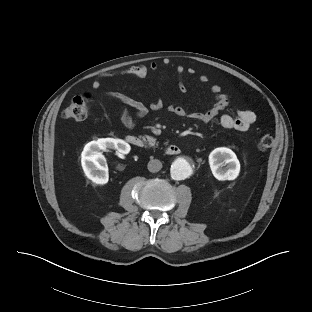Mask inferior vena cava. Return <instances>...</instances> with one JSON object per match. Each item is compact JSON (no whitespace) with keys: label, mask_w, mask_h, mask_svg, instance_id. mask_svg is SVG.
Segmentation results:
<instances>
[{"label":"inferior vena cava","mask_w":312,"mask_h":312,"mask_svg":"<svg viewBox=\"0 0 312 312\" xmlns=\"http://www.w3.org/2000/svg\"><path fill=\"white\" fill-rule=\"evenodd\" d=\"M148 170L152 173L158 172L162 168V163L158 159H152L148 162Z\"/></svg>","instance_id":"obj_1"}]
</instances>
